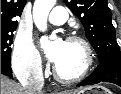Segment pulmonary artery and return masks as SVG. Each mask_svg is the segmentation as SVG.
I'll return each instance as SVG.
<instances>
[{"mask_svg":"<svg viewBox=\"0 0 121 94\" xmlns=\"http://www.w3.org/2000/svg\"><path fill=\"white\" fill-rule=\"evenodd\" d=\"M68 18V11L66 8L56 6L52 9L48 20L54 25H62Z\"/></svg>","mask_w":121,"mask_h":94,"instance_id":"1","label":"pulmonary artery"}]
</instances>
